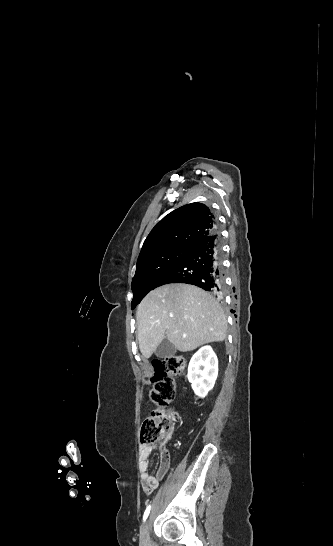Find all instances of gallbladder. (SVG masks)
Returning a JSON list of instances; mask_svg holds the SVG:
<instances>
[{
  "instance_id": "bac80fb5",
  "label": "gallbladder",
  "mask_w": 333,
  "mask_h": 546,
  "mask_svg": "<svg viewBox=\"0 0 333 546\" xmlns=\"http://www.w3.org/2000/svg\"><path fill=\"white\" fill-rule=\"evenodd\" d=\"M176 347L167 340H164L155 350L157 358L166 359L174 356Z\"/></svg>"
}]
</instances>
